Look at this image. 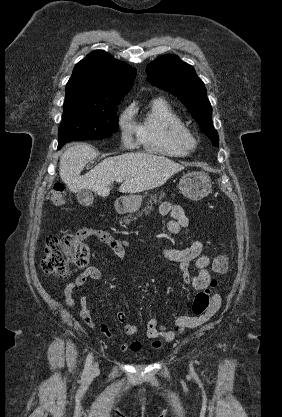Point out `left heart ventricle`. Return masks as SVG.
I'll return each instance as SVG.
<instances>
[{"label":"left heart ventricle","instance_id":"b2bd125f","mask_svg":"<svg viewBox=\"0 0 282 417\" xmlns=\"http://www.w3.org/2000/svg\"><path fill=\"white\" fill-rule=\"evenodd\" d=\"M163 129H164L165 132H171L172 125L169 122H166L163 126Z\"/></svg>","mask_w":282,"mask_h":417}]
</instances>
